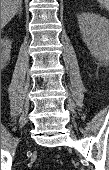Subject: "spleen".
<instances>
[{
    "label": "spleen",
    "mask_w": 109,
    "mask_h": 170,
    "mask_svg": "<svg viewBox=\"0 0 109 170\" xmlns=\"http://www.w3.org/2000/svg\"><path fill=\"white\" fill-rule=\"evenodd\" d=\"M96 1L102 4L106 8L109 7V0H96Z\"/></svg>",
    "instance_id": "3e777b00"
}]
</instances>
